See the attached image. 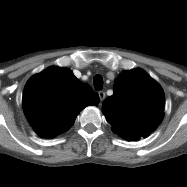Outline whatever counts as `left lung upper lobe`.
<instances>
[{
	"instance_id": "left-lung-upper-lobe-1",
	"label": "left lung upper lobe",
	"mask_w": 187,
	"mask_h": 187,
	"mask_svg": "<svg viewBox=\"0 0 187 187\" xmlns=\"http://www.w3.org/2000/svg\"><path fill=\"white\" fill-rule=\"evenodd\" d=\"M114 94L105 99L102 112L112 131L128 141L147 137L164 117L161 86L145 71H123L114 83Z\"/></svg>"
}]
</instances>
